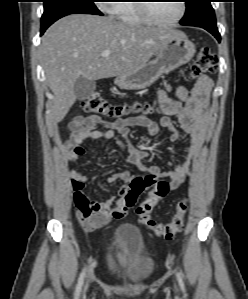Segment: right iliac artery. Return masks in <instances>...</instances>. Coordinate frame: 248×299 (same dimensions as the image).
I'll use <instances>...</instances> for the list:
<instances>
[{
  "label": "right iliac artery",
  "mask_w": 248,
  "mask_h": 299,
  "mask_svg": "<svg viewBox=\"0 0 248 299\" xmlns=\"http://www.w3.org/2000/svg\"><path fill=\"white\" fill-rule=\"evenodd\" d=\"M84 277H85V271H82V273L80 274L79 280H78V284L76 286L75 299H78V297L80 295L82 285H83V281H84Z\"/></svg>",
  "instance_id": "obj_1"
}]
</instances>
